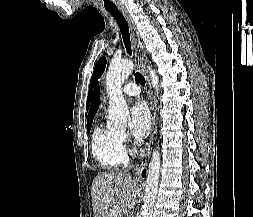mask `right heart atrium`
Wrapping results in <instances>:
<instances>
[{"label":"right heart atrium","mask_w":253,"mask_h":217,"mask_svg":"<svg viewBox=\"0 0 253 217\" xmlns=\"http://www.w3.org/2000/svg\"><path fill=\"white\" fill-rule=\"evenodd\" d=\"M119 139H120V142L121 144L123 145V147L126 149V148H130V149H133V142L129 136L128 133L126 132H119Z\"/></svg>","instance_id":"obj_1"}]
</instances>
